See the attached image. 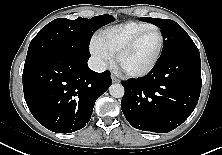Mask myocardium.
<instances>
[{"label": "myocardium", "instance_id": "myocardium-1", "mask_svg": "<svg viewBox=\"0 0 222 155\" xmlns=\"http://www.w3.org/2000/svg\"><path fill=\"white\" fill-rule=\"evenodd\" d=\"M151 30H156L158 31L159 35H160V45H159V49L158 52L154 58V60L152 61V63L145 69L140 70V71H134V72H128V71H124V73L132 78H140V77H144L146 75H148L149 73H151L155 67L157 66V64L159 63L162 53H163V49H164V44H165V37L164 34L162 32V30L158 27V26H151L148 27L142 31H140L139 33H137L135 36H133L130 40H128L125 44H123L115 53V62L116 64L119 66V60L120 58L126 53L128 52L131 48L134 47V45L149 31Z\"/></svg>", "mask_w": 222, "mask_h": 155}]
</instances>
